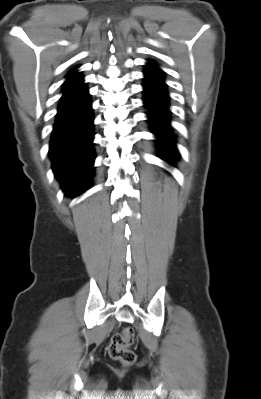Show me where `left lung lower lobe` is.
I'll return each mask as SVG.
<instances>
[{"instance_id": "left-lung-lower-lobe-1", "label": "left lung lower lobe", "mask_w": 261, "mask_h": 399, "mask_svg": "<svg viewBox=\"0 0 261 399\" xmlns=\"http://www.w3.org/2000/svg\"><path fill=\"white\" fill-rule=\"evenodd\" d=\"M154 64L151 62L145 66L143 100L149 109L147 114L152 131L159 139L156 142L165 154L162 159L174 166L173 160L179 157V153L174 145L176 142L174 135L170 130L169 95L165 87L163 73Z\"/></svg>"}]
</instances>
